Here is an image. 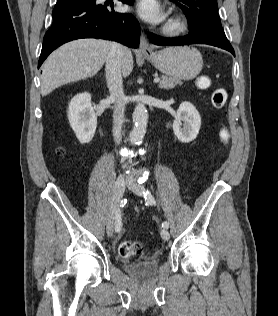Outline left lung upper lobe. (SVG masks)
I'll return each mask as SVG.
<instances>
[{
  "instance_id": "1",
  "label": "left lung upper lobe",
  "mask_w": 278,
  "mask_h": 316,
  "mask_svg": "<svg viewBox=\"0 0 278 316\" xmlns=\"http://www.w3.org/2000/svg\"><path fill=\"white\" fill-rule=\"evenodd\" d=\"M182 8L190 24V34L229 43L218 14L216 0H172Z\"/></svg>"
}]
</instances>
